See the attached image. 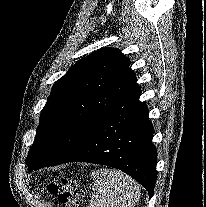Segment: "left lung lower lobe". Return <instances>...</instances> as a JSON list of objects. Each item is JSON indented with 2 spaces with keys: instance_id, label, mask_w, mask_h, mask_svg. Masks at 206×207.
I'll list each match as a JSON object with an SVG mask.
<instances>
[{
  "instance_id": "1",
  "label": "left lung lower lobe",
  "mask_w": 206,
  "mask_h": 207,
  "mask_svg": "<svg viewBox=\"0 0 206 207\" xmlns=\"http://www.w3.org/2000/svg\"><path fill=\"white\" fill-rule=\"evenodd\" d=\"M140 94V87L134 82L100 117L73 154L48 166L81 161L115 167L145 187L151 198L157 151L151 141L153 127L148 108L139 101Z\"/></svg>"
}]
</instances>
